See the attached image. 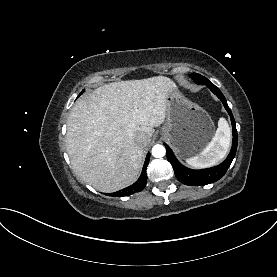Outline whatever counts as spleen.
Returning <instances> with one entry per match:
<instances>
[{"mask_svg": "<svg viewBox=\"0 0 277 277\" xmlns=\"http://www.w3.org/2000/svg\"><path fill=\"white\" fill-rule=\"evenodd\" d=\"M231 141V130L225 118H220L218 128L212 141L194 157L186 159V163L194 168H206L219 163L227 154Z\"/></svg>", "mask_w": 277, "mask_h": 277, "instance_id": "1", "label": "spleen"}]
</instances>
